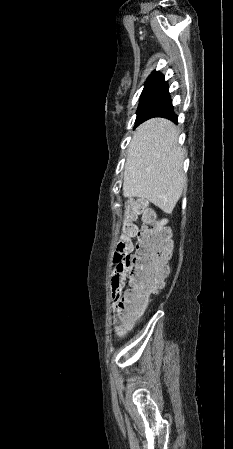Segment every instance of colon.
Returning a JSON list of instances; mask_svg holds the SVG:
<instances>
[{
	"label": "colon",
	"instance_id": "colon-1",
	"mask_svg": "<svg viewBox=\"0 0 233 449\" xmlns=\"http://www.w3.org/2000/svg\"><path fill=\"white\" fill-rule=\"evenodd\" d=\"M139 214L143 217L140 230L134 224ZM135 237L137 243L134 246ZM171 249L169 231L157 219L154 209L143 201L132 200L126 210L114 256L117 264L126 267L129 279V289L116 308L119 321L130 324L142 314L150 296L161 287L168 273Z\"/></svg>",
	"mask_w": 233,
	"mask_h": 449
}]
</instances>
